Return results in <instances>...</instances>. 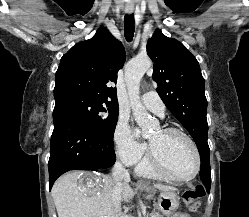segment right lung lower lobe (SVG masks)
Instances as JSON below:
<instances>
[{"instance_id":"1","label":"right lung lower lobe","mask_w":249,"mask_h":217,"mask_svg":"<svg viewBox=\"0 0 249 217\" xmlns=\"http://www.w3.org/2000/svg\"><path fill=\"white\" fill-rule=\"evenodd\" d=\"M54 130L49 158L50 189L69 170H102L115 162L113 138L92 132L70 113L53 111Z\"/></svg>"}]
</instances>
